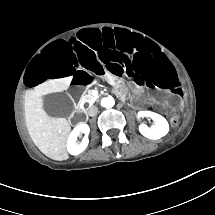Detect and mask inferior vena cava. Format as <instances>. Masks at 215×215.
<instances>
[{"label": "inferior vena cava", "mask_w": 215, "mask_h": 215, "mask_svg": "<svg viewBox=\"0 0 215 215\" xmlns=\"http://www.w3.org/2000/svg\"><path fill=\"white\" fill-rule=\"evenodd\" d=\"M98 113V108L96 106H91L88 109L89 116H95Z\"/></svg>", "instance_id": "obj_1"}]
</instances>
